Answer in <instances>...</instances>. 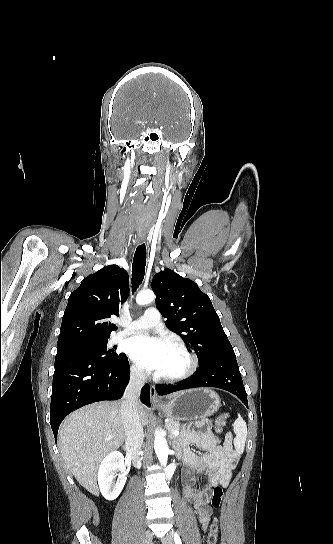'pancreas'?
Here are the masks:
<instances>
[{"instance_id":"obj_1","label":"pancreas","mask_w":333,"mask_h":544,"mask_svg":"<svg viewBox=\"0 0 333 544\" xmlns=\"http://www.w3.org/2000/svg\"><path fill=\"white\" fill-rule=\"evenodd\" d=\"M166 428L174 439L176 438V436L173 434L175 430L179 431L180 433H186L188 431L185 427L181 426L179 421L175 420L174 418H167Z\"/></svg>"}]
</instances>
